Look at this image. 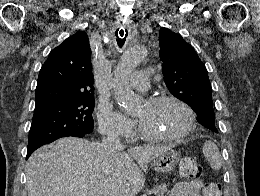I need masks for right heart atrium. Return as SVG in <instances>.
Returning a JSON list of instances; mask_svg holds the SVG:
<instances>
[{"label": "right heart atrium", "mask_w": 260, "mask_h": 196, "mask_svg": "<svg viewBox=\"0 0 260 196\" xmlns=\"http://www.w3.org/2000/svg\"><path fill=\"white\" fill-rule=\"evenodd\" d=\"M97 120L99 129L103 134H108L115 130H131L134 127L132 121L125 117L123 113L116 109L110 102L103 103L98 108Z\"/></svg>", "instance_id": "1"}]
</instances>
